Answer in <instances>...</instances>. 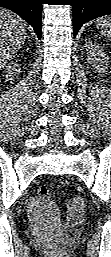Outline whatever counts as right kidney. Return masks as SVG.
Here are the masks:
<instances>
[{
	"mask_svg": "<svg viewBox=\"0 0 111 257\" xmlns=\"http://www.w3.org/2000/svg\"><path fill=\"white\" fill-rule=\"evenodd\" d=\"M7 71H5L7 73L6 77L11 78L13 76V74L19 73L20 69H19V65L14 64L13 66H9L6 68Z\"/></svg>",
	"mask_w": 111,
	"mask_h": 257,
	"instance_id": "obj_1",
	"label": "right kidney"
}]
</instances>
